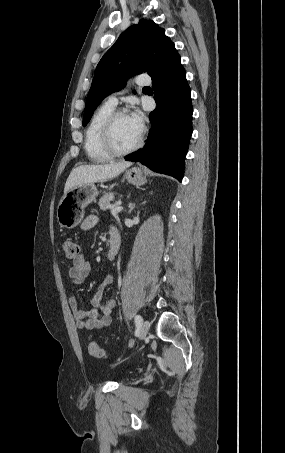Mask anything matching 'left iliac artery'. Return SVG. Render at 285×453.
Returning a JSON list of instances; mask_svg holds the SVG:
<instances>
[{"label": "left iliac artery", "mask_w": 285, "mask_h": 453, "mask_svg": "<svg viewBox=\"0 0 285 453\" xmlns=\"http://www.w3.org/2000/svg\"><path fill=\"white\" fill-rule=\"evenodd\" d=\"M142 321H143V319L140 315L135 316V323L137 326H140L142 324Z\"/></svg>", "instance_id": "left-iliac-artery-1"}]
</instances>
